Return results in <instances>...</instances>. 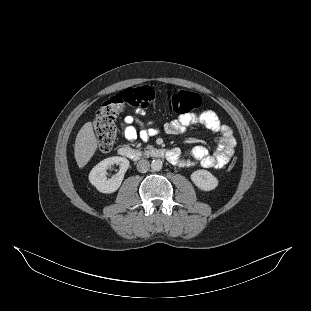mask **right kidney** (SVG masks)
I'll use <instances>...</instances> for the list:
<instances>
[{
	"label": "right kidney",
	"mask_w": 311,
	"mask_h": 311,
	"mask_svg": "<svg viewBox=\"0 0 311 311\" xmlns=\"http://www.w3.org/2000/svg\"><path fill=\"white\" fill-rule=\"evenodd\" d=\"M113 164L119 165L120 170L110 179H107L106 170ZM128 167L129 160L124 157L114 156L106 158L90 171L89 181L98 191L102 193H113L120 187Z\"/></svg>",
	"instance_id": "1"
}]
</instances>
